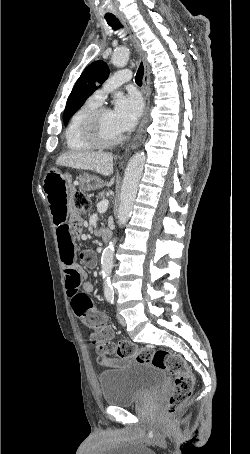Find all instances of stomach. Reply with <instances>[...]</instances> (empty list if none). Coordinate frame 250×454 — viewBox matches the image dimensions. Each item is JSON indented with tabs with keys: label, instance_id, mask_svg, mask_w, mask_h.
I'll use <instances>...</instances> for the list:
<instances>
[{
	"label": "stomach",
	"instance_id": "1",
	"mask_svg": "<svg viewBox=\"0 0 250 454\" xmlns=\"http://www.w3.org/2000/svg\"><path fill=\"white\" fill-rule=\"evenodd\" d=\"M45 176H69V175L62 174L59 171V169L54 167V168L50 169ZM83 182H84V184H86L87 189H95V188L99 187V180L93 176H89V175L83 176ZM43 187H44V183H43ZM71 187H72V185H71Z\"/></svg>",
	"mask_w": 250,
	"mask_h": 454
}]
</instances>
